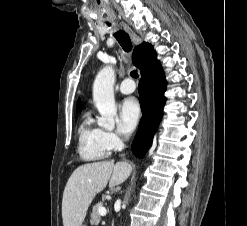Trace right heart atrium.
Listing matches in <instances>:
<instances>
[{
  "mask_svg": "<svg viewBox=\"0 0 247 226\" xmlns=\"http://www.w3.org/2000/svg\"><path fill=\"white\" fill-rule=\"evenodd\" d=\"M103 137L107 146L111 148H115L119 145V137L113 131H103Z\"/></svg>",
  "mask_w": 247,
  "mask_h": 226,
  "instance_id": "obj_1",
  "label": "right heart atrium"
}]
</instances>
